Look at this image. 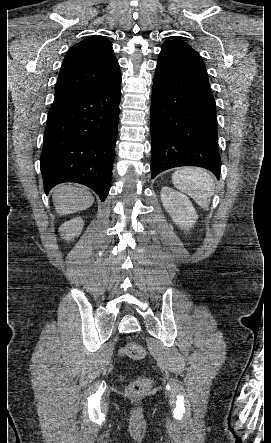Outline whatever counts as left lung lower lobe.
Masks as SVG:
<instances>
[{"instance_id":"1","label":"left lung lower lobe","mask_w":271,"mask_h":443,"mask_svg":"<svg viewBox=\"0 0 271 443\" xmlns=\"http://www.w3.org/2000/svg\"><path fill=\"white\" fill-rule=\"evenodd\" d=\"M151 172L199 166L219 178L216 105L207 71L192 48L163 46L151 101Z\"/></svg>"}]
</instances>
